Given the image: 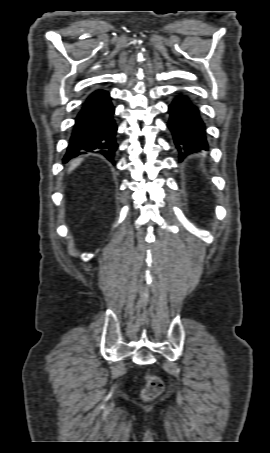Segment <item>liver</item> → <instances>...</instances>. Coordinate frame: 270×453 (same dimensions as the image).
<instances>
[{
    "label": "liver",
    "instance_id": "liver-1",
    "mask_svg": "<svg viewBox=\"0 0 270 453\" xmlns=\"http://www.w3.org/2000/svg\"><path fill=\"white\" fill-rule=\"evenodd\" d=\"M83 159L81 158H77V159H74L70 162V166H69V169H68V172H71L72 170H74L76 167H78L80 165V163L82 162Z\"/></svg>",
    "mask_w": 270,
    "mask_h": 453
}]
</instances>
